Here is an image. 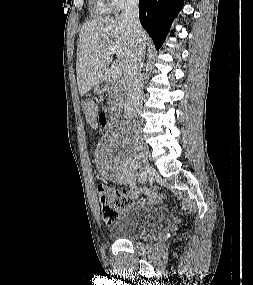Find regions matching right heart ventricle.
<instances>
[{
	"instance_id": "obj_1",
	"label": "right heart ventricle",
	"mask_w": 253,
	"mask_h": 285,
	"mask_svg": "<svg viewBox=\"0 0 253 285\" xmlns=\"http://www.w3.org/2000/svg\"><path fill=\"white\" fill-rule=\"evenodd\" d=\"M92 8L97 15H106L113 11L108 0H93Z\"/></svg>"
}]
</instances>
